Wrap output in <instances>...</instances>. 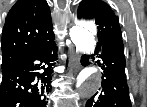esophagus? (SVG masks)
Here are the masks:
<instances>
[{
	"label": "esophagus",
	"mask_w": 147,
	"mask_h": 107,
	"mask_svg": "<svg viewBox=\"0 0 147 107\" xmlns=\"http://www.w3.org/2000/svg\"><path fill=\"white\" fill-rule=\"evenodd\" d=\"M76 64H78V59L76 60Z\"/></svg>",
	"instance_id": "esophagus-1"
}]
</instances>
